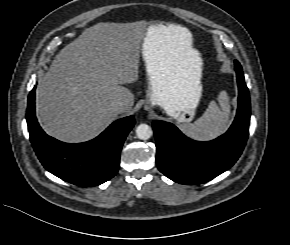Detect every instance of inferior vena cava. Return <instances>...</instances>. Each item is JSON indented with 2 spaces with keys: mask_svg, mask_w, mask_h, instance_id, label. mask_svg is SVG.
Returning <instances> with one entry per match:
<instances>
[{
  "mask_svg": "<svg viewBox=\"0 0 290 245\" xmlns=\"http://www.w3.org/2000/svg\"><path fill=\"white\" fill-rule=\"evenodd\" d=\"M113 109L117 112H122L125 109L124 102L118 100L113 104Z\"/></svg>",
  "mask_w": 290,
  "mask_h": 245,
  "instance_id": "1",
  "label": "inferior vena cava"
}]
</instances>
